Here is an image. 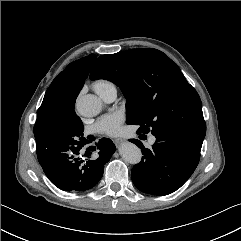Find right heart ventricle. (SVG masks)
I'll return each instance as SVG.
<instances>
[{"label":"right heart ventricle","instance_id":"e07e8e85","mask_svg":"<svg viewBox=\"0 0 241 241\" xmlns=\"http://www.w3.org/2000/svg\"><path fill=\"white\" fill-rule=\"evenodd\" d=\"M94 90L102 96L105 92H107L111 88H115L114 84L108 80L105 79H99L96 80L93 83Z\"/></svg>","mask_w":241,"mask_h":241}]
</instances>
